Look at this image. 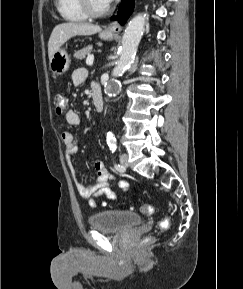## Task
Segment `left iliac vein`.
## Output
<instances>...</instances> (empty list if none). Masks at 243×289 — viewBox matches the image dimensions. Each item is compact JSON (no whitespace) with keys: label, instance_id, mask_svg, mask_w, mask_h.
I'll return each mask as SVG.
<instances>
[{"label":"left iliac vein","instance_id":"left-iliac-vein-1","mask_svg":"<svg viewBox=\"0 0 243 289\" xmlns=\"http://www.w3.org/2000/svg\"><path fill=\"white\" fill-rule=\"evenodd\" d=\"M120 163L124 167V169L128 167L129 163H128V155L127 154H122L120 156Z\"/></svg>","mask_w":243,"mask_h":289}]
</instances>
